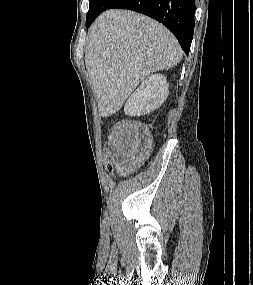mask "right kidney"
I'll return each instance as SVG.
<instances>
[{
    "label": "right kidney",
    "instance_id": "ca27d5eb",
    "mask_svg": "<svg viewBox=\"0 0 253 285\" xmlns=\"http://www.w3.org/2000/svg\"><path fill=\"white\" fill-rule=\"evenodd\" d=\"M169 94V84L162 74L146 77L128 98L124 110L130 116H141L159 108Z\"/></svg>",
    "mask_w": 253,
    "mask_h": 285
}]
</instances>
